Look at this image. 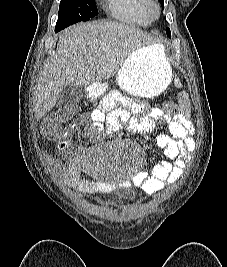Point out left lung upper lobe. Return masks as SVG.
Returning a JSON list of instances; mask_svg holds the SVG:
<instances>
[{
  "instance_id": "obj_1",
  "label": "left lung upper lobe",
  "mask_w": 227,
  "mask_h": 267,
  "mask_svg": "<svg viewBox=\"0 0 227 267\" xmlns=\"http://www.w3.org/2000/svg\"><path fill=\"white\" fill-rule=\"evenodd\" d=\"M160 1V3H161V5L163 6V8H164V0H159ZM168 29V28H167Z\"/></svg>"
}]
</instances>
